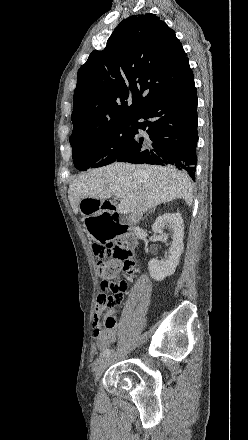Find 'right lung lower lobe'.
I'll use <instances>...</instances> for the list:
<instances>
[{"label": "right lung lower lobe", "instance_id": "right-lung-lower-lobe-1", "mask_svg": "<svg viewBox=\"0 0 248 440\" xmlns=\"http://www.w3.org/2000/svg\"><path fill=\"white\" fill-rule=\"evenodd\" d=\"M197 103L193 80L144 104L131 118L133 133L128 149L116 161L175 166L195 181ZM138 129L147 135L141 137Z\"/></svg>", "mask_w": 248, "mask_h": 440}]
</instances>
